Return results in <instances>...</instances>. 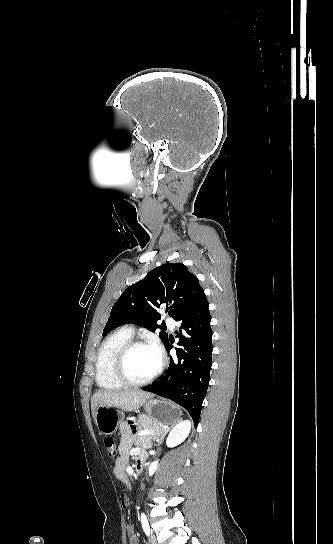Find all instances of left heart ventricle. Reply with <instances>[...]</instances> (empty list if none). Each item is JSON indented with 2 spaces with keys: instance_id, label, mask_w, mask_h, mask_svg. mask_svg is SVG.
Returning a JSON list of instances; mask_svg holds the SVG:
<instances>
[{
  "instance_id": "b2bd125f",
  "label": "left heart ventricle",
  "mask_w": 333,
  "mask_h": 544,
  "mask_svg": "<svg viewBox=\"0 0 333 544\" xmlns=\"http://www.w3.org/2000/svg\"><path fill=\"white\" fill-rule=\"evenodd\" d=\"M159 365V355L151 346H137L128 355L126 370L128 376L141 381L151 376Z\"/></svg>"
}]
</instances>
